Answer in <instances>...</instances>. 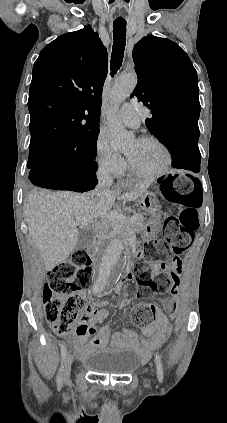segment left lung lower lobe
Wrapping results in <instances>:
<instances>
[{"label": "left lung lower lobe", "instance_id": "obj_1", "mask_svg": "<svg viewBox=\"0 0 227 423\" xmlns=\"http://www.w3.org/2000/svg\"><path fill=\"white\" fill-rule=\"evenodd\" d=\"M199 130H191L183 135H173L161 140L172 155L175 168L198 173L200 171L201 154L198 148ZM195 180L192 176L187 175Z\"/></svg>", "mask_w": 227, "mask_h": 423}]
</instances>
